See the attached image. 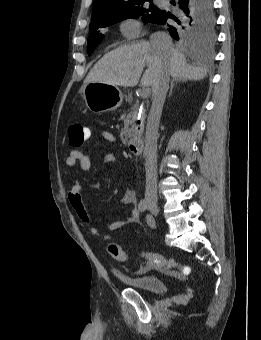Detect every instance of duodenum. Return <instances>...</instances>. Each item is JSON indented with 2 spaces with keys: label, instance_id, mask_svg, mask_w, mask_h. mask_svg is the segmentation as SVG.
Instances as JSON below:
<instances>
[{
  "label": "duodenum",
  "instance_id": "410a0bca",
  "mask_svg": "<svg viewBox=\"0 0 261 340\" xmlns=\"http://www.w3.org/2000/svg\"><path fill=\"white\" fill-rule=\"evenodd\" d=\"M144 141L141 137L135 136L128 142V149L133 155H140L143 151Z\"/></svg>",
  "mask_w": 261,
  "mask_h": 340
}]
</instances>
